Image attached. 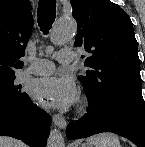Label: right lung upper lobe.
Segmentation results:
<instances>
[{
  "mask_svg": "<svg viewBox=\"0 0 145 147\" xmlns=\"http://www.w3.org/2000/svg\"><path fill=\"white\" fill-rule=\"evenodd\" d=\"M32 27L29 0H0V75L23 67L19 58L25 54Z\"/></svg>",
  "mask_w": 145,
  "mask_h": 147,
  "instance_id": "obj_1",
  "label": "right lung upper lobe"
}]
</instances>
